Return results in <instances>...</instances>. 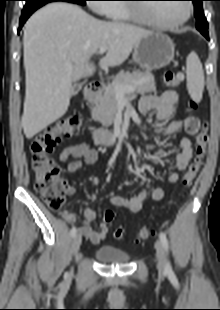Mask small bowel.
I'll use <instances>...</instances> for the list:
<instances>
[{
	"label": "small bowel",
	"instance_id": "small-bowel-1",
	"mask_svg": "<svg viewBox=\"0 0 220 310\" xmlns=\"http://www.w3.org/2000/svg\"><path fill=\"white\" fill-rule=\"evenodd\" d=\"M179 103V93L175 90H166L161 96L146 95L140 99L139 111L145 115L149 112H154L156 119L159 122L167 121L173 114L175 106ZM183 129L189 136L195 135L199 130V119L195 116H188L181 120L169 122L161 131V135H171ZM189 136H185L180 140V150L175 156V164L177 171H172L168 175V181L171 184H176L179 181L178 171H184L193 155V144ZM70 158L67 165L69 173L77 172L85 164H94L98 160V151L96 148L88 143H77L63 148L59 154L58 159L61 162H66ZM90 181L94 185L100 184L98 176H91ZM76 192L74 186H68V194L73 195ZM151 192V197L155 201H160L165 196V191L161 187L150 190V186H146L142 191L132 197H125L118 194H113L110 197V202L119 208L126 209L129 214L135 215L139 213L143 207L144 201ZM84 220L79 228L82 236L89 239L93 244L102 242L108 232V227L105 223H100L96 230L93 229L92 224L95 219V213L90 208L84 209ZM62 217L69 223L77 220V214L68 210L61 211Z\"/></svg>",
	"mask_w": 220,
	"mask_h": 310
}]
</instances>
